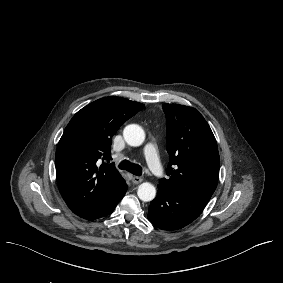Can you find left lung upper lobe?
Returning a JSON list of instances; mask_svg holds the SVG:
<instances>
[{"label": "left lung upper lobe", "instance_id": "left-lung-upper-lobe-1", "mask_svg": "<svg viewBox=\"0 0 283 283\" xmlns=\"http://www.w3.org/2000/svg\"><path fill=\"white\" fill-rule=\"evenodd\" d=\"M167 120L168 179L162 188L208 202L216 189L220 158L216 139L203 116L194 108L162 105Z\"/></svg>", "mask_w": 283, "mask_h": 283}]
</instances>
